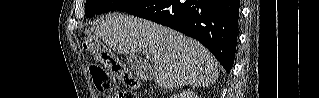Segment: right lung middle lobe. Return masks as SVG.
I'll use <instances>...</instances> for the list:
<instances>
[{"instance_id":"right-lung-middle-lobe-1","label":"right lung middle lobe","mask_w":319,"mask_h":98,"mask_svg":"<svg viewBox=\"0 0 319 98\" xmlns=\"http://www.w3.org/2000/svg\"><path fill=\"white\" fill-rule=\"evenodd\" d=\"M146 2L148 0H87L86 17L90 18L94 15L114 10L128 11Z\"/></svg>"}]
</instances>
